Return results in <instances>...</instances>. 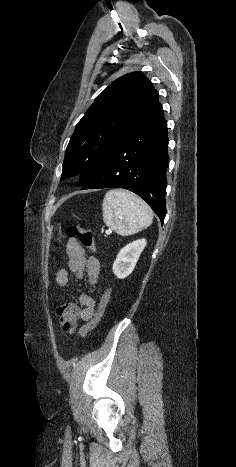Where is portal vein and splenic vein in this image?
<instances>
[{"instance_id": "1", "label": "portal vein and splenic vein", "mask_w": 236, "mask_h": 467, "mask_svg": "<svg viewBox=\"0 0 236 467\" xmlns=\"http://www.w3.org/2000/svg\"><path fill=\"white\" fill-rule=\"evenodd\" d=\"M107 233H111V231H107Z\"/></svg>"}]
</instances>
